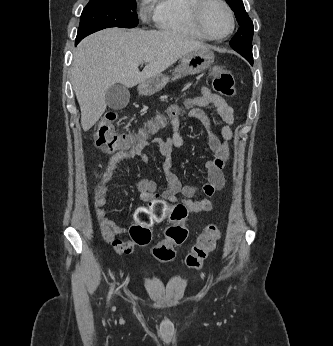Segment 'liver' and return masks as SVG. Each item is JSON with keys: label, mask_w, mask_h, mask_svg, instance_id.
Masks as SVG:
<instances>
[{"label": "liver", "mask_w": 333, "mask_h": 346, "mask_svg": "<svg viewBox=\"0 0 333 346\" xmlns=\"http://www.w3.org/2000/svg\"><path fill=\"white\" fill-rule=\"evenodd\" d=\"M204 48L171 31L109 28L84 38L74 52L71 69L83 130L88 131L105 112V95L111 86L134 87ZM141 63L146 66L140 72Z\"/></svg>", "instance_id": "liver-1"}]
</instances>
